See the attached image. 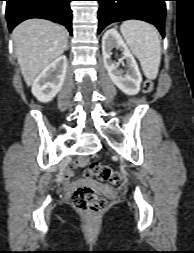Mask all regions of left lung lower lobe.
Returning <instances> with one entry per match:
<instances>
[{"label":"left lung lower lobe","instance_id":"obj_1","mask_svg":"<svg viewBox=\"0 0 194 253\" xmlns=\"http://www.w3.org/2000/svg\"><path fill=\"white\" fill-rule=\"evenodd\" d=\"M98 34L110 23L138 19L154 24L165 36L166 0H97Z\"/></svg>","mask_w":194,"mask_h":253}]
</instances>
